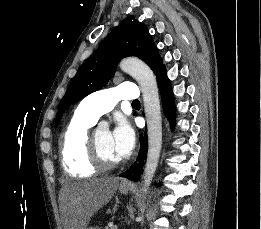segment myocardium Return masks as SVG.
Returning <instances> with one entry per match:
<instances>
[{"label": "myocardium", "instance_id": "obj_1", "mask_svg": "<svg viewBox=\"0 0 261 229\" xmlns=\"http://www.w3.org/2000/svg\"><path fill=\"white\" fill-rule=\"evenodd\" d=\"M92 157H93L95 164L101 170L114 169L120 165V160L111 161L104 156V154L102 153V150L100 148L97 136H95L92 139Z\"/></svg>", "mask_w": 261, "mask_h": 229}]
</instances>
